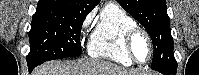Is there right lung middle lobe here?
Wrapping results in <instances>:
<instances>
[{"mask_svg": "<svg viewBox=\"0 0 199 75\" xmlns=\"http://www.w3.org/2000/svg\"><path fill=\"white\" fill-rule=\"evenodd\" d=\"M87 14L56 8L37 9L29 32L28 64L81 55L80 32Z\"/></svg>", "mask_w": 199, "mask_h": 75, "instance_id": "obj_1", "label": "right lung middle lobe"}]
</instances>
